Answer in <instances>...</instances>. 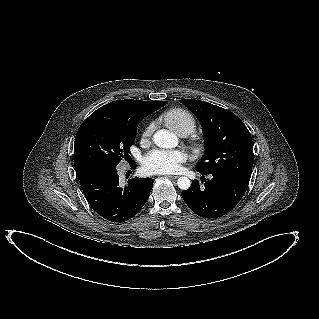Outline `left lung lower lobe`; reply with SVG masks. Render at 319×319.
Masks as SVG:
<instances>
[{
  "mask_svg": "<svg viewBox=\"0 0 319 319\" xmlns=\"http://www.w3.org/2000/svg\"><path fill=\"white\" fill-rule=\"evenodd\" d=\"M210 175L211 179L203 178L204 187H200L195 179L190 188L181 193L190 209L204 218H216L229 213L239 203L249 184L227 173Z\"/></svg>",
  "mask_w": 319,
  "mask_h": 319,
  "instance_id": "1",
  "label": "left lung lower lobe"
}]
</instances>
